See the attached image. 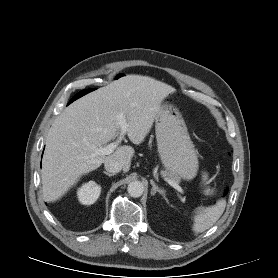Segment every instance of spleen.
Returning <instances> with one entry per match:
<instances>
[{"instance_id": "3e777b00", "label": "spleen", "mask_w": 278, "mask_h": 278, "mask_svg": "<svg viewBox=\"0 0 278 278\" xmlns=\"http://www.w3.org/2000/svg\"><path fill=\"white\" fill-rule=\"evenodd\" d=\"M226 207V200H219L216 205L209 208L200 207L194 217L193 231L201 233L209 229L220 218Z\"/></svg>"}]
</instances>
